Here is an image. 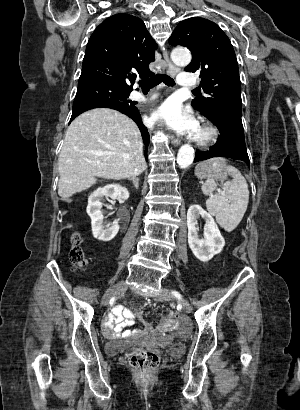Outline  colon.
Wrapping results in <instances>:
<instances>
[{"mask_svg":"<svg viewBox=\"0 0 300 410\" xmlns=\"http://www.w3.org/2000/svg\"><path fill=\"white\" fill-rule=\"evenodd\" d=\"M72 243L73 246L70 250V261L74 268H78L85 264V252L81 246V236L79 234H74L72 237ZM176 320L177 316L175 314L166 312L162 321L170 325ZM129 363L141 376L149 377L159 366L160 356L153 350L142 349L130 354Z\"/></svg>","mask_w":300,"mask_h":410,"instance_id":"colon-1","label":"colon"}]
</instances>
